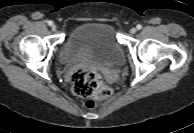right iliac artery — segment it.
<instances>
[{"label": "right iliac artery", "instance_id": "1", "mask_svg": "<svg viewBox=\"0 0 194 133\" xmlns=\"http://www.w3.org/2000/svg\"><path fill=\"white\" fill-rule=\"evenodd\" d=\"M48 25L52 26L53 22L52 21H48Z\"/></svg>", "mask_w": 194, "mask_h": 133}]
</instances>
